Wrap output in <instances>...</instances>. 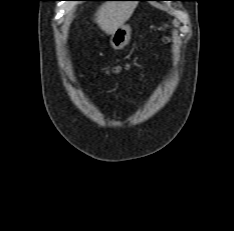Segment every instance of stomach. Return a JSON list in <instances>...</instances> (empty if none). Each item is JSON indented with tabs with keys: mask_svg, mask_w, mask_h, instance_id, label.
Returning <instances> with one entry per match:
<instances>
[{
	"mask_svg": "<svg viewBox=\"0 0 234 231\" xmlns=\"http://www.w3.org/2000/svg\"><path fill=\"white\" fill-rule=\"evenodd\" d=\"M131 37V28L128 25H122L112 35L110 44L114 49H122L126 46Z\"/></svg>",
	"mask_w": 234,
	"mask_h": 231,
	"instance_id": "1",
	"label": "stomach"
}]
</instances>
